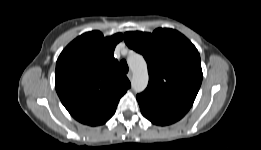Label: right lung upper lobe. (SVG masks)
Returning <instances> with one entry per match:
<instances>
[{"mask_svg": "<svg viewBox=\"0 0 261 150\" xmlns=\"http://www.w3.org/2000/svg\"><path fill=\"white\" fill-rule=\"evenodd\" d=\"M122 39L121 33L104 37L99 31L87 32L73 40L58 57L57 94L68 112L83 124H104L131 86L113 56Z\"/></svg>", "mask_w": 261, "mask_h": 150, "instance_id": "right-lung-upper-lobe-1", "label": "right lung upper lobe"}]
</instances>
